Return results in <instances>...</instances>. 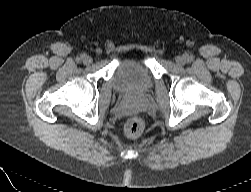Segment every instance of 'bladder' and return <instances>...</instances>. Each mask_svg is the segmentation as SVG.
<instances>
[{"label": "bladder", "mask_w": 251, "mask_h": 192, "mask_svg": "<svg viewBox=\"0 0 251 192\" xmlns=\"http://www.w3.org/2000/svg\"><path fill=\"white\" fill-rule=\"evenodd\" d=\"M154 76L144 58H128L117 67L114 89L121 93L144 94L154 87Z\"/></svg>", "instance_id": "bladder-1"}]
</instances>
